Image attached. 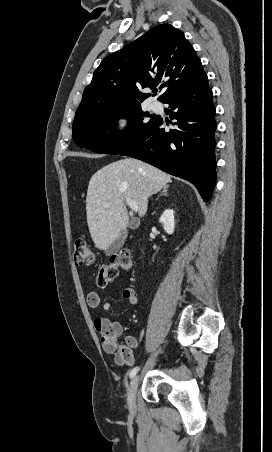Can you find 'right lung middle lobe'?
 Returning <instances> with one entry per match:
<instances>
[{"mask_svg": "<svg viewBox=\"0 0 272 452\" xmlns=\"http://www.w3.org/2000/svg\"><path fill=\"white\" fill-rule=\"evenodd\" d=\"M123 116L128 119L127 127L114 131L116 120ZM156 118L143 112L140 104L97 110L74 119L72 137L81 148L101 154H119L137 142Z\"/></svg>", "mask_w": 272, "mask_h": 452, "instance_id": "obj_1", "label": "right lung middle lobe"}]
</instances>
